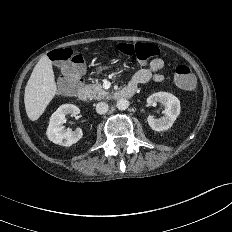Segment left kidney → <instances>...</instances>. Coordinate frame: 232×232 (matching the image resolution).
I'll use <instances>...</instances> for the list:
<instances>
[{
	"label": "left kidney",
	"mask_w": 232,
	"mask_h": 232,
	"mask_svg": "<svg viewBox=\"0 0 232 232\" xmlns=\"http://www.w3.org/2000/svg\"><path fill=\"white\" fill-rule=\"evenodd\" d=\"M160 102L164 105V116L155 119L153 116H148L147 121L149 126L155 131H165L172 127L174 121L180 114V101L171 93L157 92L147 98L149 105Z\"/></svg>",
	"instance_id": "obj_1"
}]
</instances>
